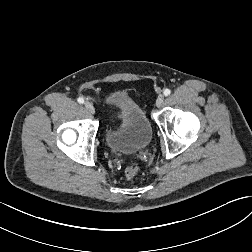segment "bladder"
I'll use <instances>...</instances> for the list:
<instances>
[{"label": "bladder", "mask_w": 252, "mask_h": 252, "mask_svg": "<svg viewBox=\"0 0 252 252\" xmlns=\"http://www.w3.org/2000/svg\"><path fill=\"white\" fill-rule=\"evenodd\" d=\"M110 124L104 132L106 146L118 153L144 149L152 139V127L142 108L132 99L116 96L110 104Z\"/></svg>", "instance_id": "bladder-1"}]
</instances>
